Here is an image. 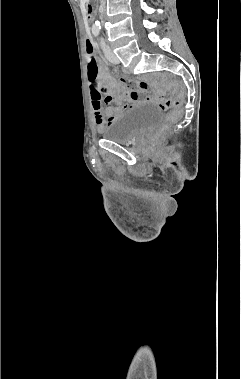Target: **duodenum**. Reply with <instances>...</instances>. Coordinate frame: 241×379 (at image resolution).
<instances>
[{"mask_svg": "<svg viewBox=\"0 0 241 379\" xmlns=\"http://www.w3.org/2000/svg\"><path fill=\"white\" fill-rule=\"evenodd\" d=\"M87 9H88V12L90 13L91 12L90 0H87Z\"/></svg>", "mask_w": 241, "mask_h": 379, "instance_id": "obj_1", "label": "duodenum"}]
</instances>
